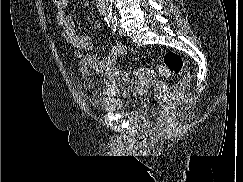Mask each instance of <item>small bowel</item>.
<instances>
[{
    "label": "small bowel",
    "mask_w": 243,
    "mask_h": 182,
    "mask_svg": "<svg viewBox=\"0 0 243 182\" xmlns=\"http://www.w3.org/2000/svg\"><path fill=\"white\" fill-rule=\"evenodd\" d=\"M56 20L64 39L73 47V54L79 61V69L84 77L83 87L85 89H94L92 74L104 76V87L93 91L95 97L111 98L117 96L121 90L128 93L140 89L142 85L140 82L131 79L126 71L116 67L117 60L126 53L125 45L116 43L104 55L92 54L93 42L89 36L76 33L73 15L59 10L56 14ZM102 26L103 23L100 20L94 22L96 30L101 29Z\"/></svg>",
    "instance_id": "small-bowel-1"
}]
</instances>
